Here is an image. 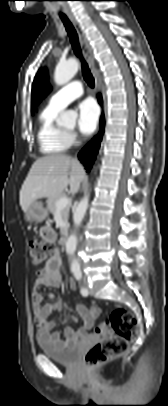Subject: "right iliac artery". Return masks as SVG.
<instances>
[{
    "mask_svg": "<svg viewBox=\"0 0 168 406\" xmlns=\"http://www.w3.org/2000/svg\"><path fill=\"white\" fill-rule=\"evenodd\" d=\"M76 270H77V268H73V269H72L73 272L76 271Z\"/></svg>",
    "mask_w": 168,
    "mask_h": 406,
    "instance_id": "right-iliac-artery-1",
    "label": "right iliac artery"
}]
</instances>
